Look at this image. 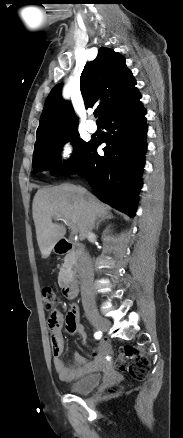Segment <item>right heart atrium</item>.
<instances>
[{"label":"right heart atrium","mask_w":183,"mask_h":438,"mask_svg":"<svg viewBox=\"0 0 183 438\" xmlns=\"http://www.w3.org/2000/svg\"><path fill=\"white\" fill-rule=\"evenodd\" d=\"M76 156V145L71 139L65 140L59 150V160L62 165L73 162Z\"/></svg>","instance_id":"d8ad5b80"}]
</instances>
